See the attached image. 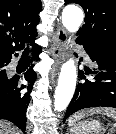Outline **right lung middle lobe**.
<instances>
[{"label": "right lung middle lobe", "instance_id": "1", "mask_svg": "<svg viewBox=\"0 0 116 134\" xmlns=\"http://www.w3.org/2000/svg\"><path fill=\"white\" fill-rule=\"evenodd\" d=\"M8 64L9 62H0V86L10 81V78L7 77L6 70H5Z\"/></svg>", "mask_w": 116, "mask_h": 134}]
</instances>
